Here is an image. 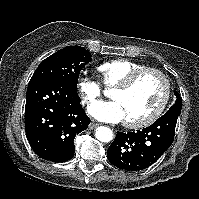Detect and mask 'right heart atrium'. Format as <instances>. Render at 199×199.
Returning <instances> with one entry per match:
<instances>
[{
    "instance_id": "d8ad5b80",
    "label": "right heart atrium",
    "mask_w": 199,
    "mask_h": 199,
    "mask_svg": "<svg viewBox=\"0 0 199 199\" xmlns=\"http://www.w3.org/2000/svg\"><path fill=\"white\" fill-rule=\"evenodd\" d=\"M77 90L85 104H92L102 94L101 84L92 78H80L77 83Z\"/></svg>"
}]
</instances>
